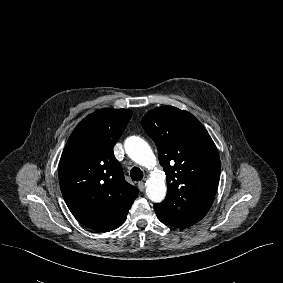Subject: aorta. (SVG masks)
I'll return each instance as SVG.
<instances>
[{"mask_svg": "<svg viewBox=\"0 0 283 283\" xmlns=\"http://www.w3.org/2000/svg\"><path fill=\"white\" fill-rule=\"evenodd\" d=\"M125 151L127 155L137 164L152 168L156 164V159L149 144L138 136H131L125 140ZM167 187L165 183L164 173L158 172L147 180L146 194L148 198L159 203L163 201L166 196Z\"/></svg>", "mask_w": 283, "mask_h": 283, "instance_id": "762f6f07", "label": "aorta"}]
</instances>
